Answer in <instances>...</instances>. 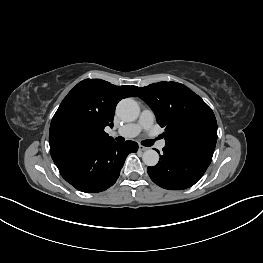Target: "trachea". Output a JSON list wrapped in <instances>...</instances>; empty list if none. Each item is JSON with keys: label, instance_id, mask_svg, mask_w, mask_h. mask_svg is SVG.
<instances>
[{"label": "trachea", "instance_id": "1", "mask_svg": "<svg viewBox=\"0 0 263 263\" xmlns=\"http://www.w3.org/2000/svg\"><path fill=\"white\" fill-rule=\"evenodd\" d=\"M153 143H154V140H152V139L142 141V145H144V146H146V147L152 146Z\"/></svg>", "mask_w": 263, "mask_h": 263}]
</instances>
